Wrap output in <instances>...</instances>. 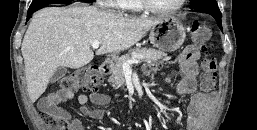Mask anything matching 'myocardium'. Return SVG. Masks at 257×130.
<instances>
[{
  "mask_svg": "<svg viewBox=\"0 0 257 130\" xmlns=\"http://www.w3.org/2000/svg\"><path fill=\"white\" fill-rule=\"evenodd\" d=\"M138 1L143 10L153 14H159V15L174 14L179 10H181L186 3V0H180L176 6L168 9H162L154 6L150 0H138Z\"/></svg>",
  "mask_w": 257,
  "mask_h": 130,
  "instance_id": "1",
  "label": "myocardium"
}]
</instances>
